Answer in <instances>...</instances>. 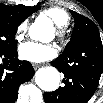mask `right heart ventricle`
Wrapping results in <instances>:
<instances>
[{"label": "right heart ventricle", "instance_id": "e07e8e85", "mask_svg": "<svg viewBox=\"0 0 103 103\" xmlns=\"http://www.w3.org/2000/svg\"><path fill=\"white\" fill-rule=\"evenodd\" d=\"M58 27H65L69 23V15L59 7H51L44 11Z\"/></svg>", "mask_w": 103, "mask_h": 103}]
</instances>
